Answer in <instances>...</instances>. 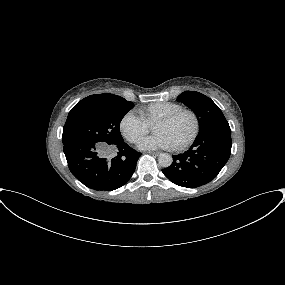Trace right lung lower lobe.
I'll list each match as a JSON object with an SVG mask.
<instances>
[{"instance_id": "1", "label": "right lung lower lobe", "mask_w": 285, "mask_h": 285, "mask_svg": "<svg viewBox=\"0 0 285 285\" xmlns=\"http://www.w3.org/2000/svg\"><path fill=\"white\" fill-rule=\"evenodd\" d=\"M110 148L117 150L114 158L107 157ZM63 151L71 173L85 186L98 191H111L126 184L141 155L123 140L111 145L70 142L64 144Z\"/></svg>"}]
</instances>
